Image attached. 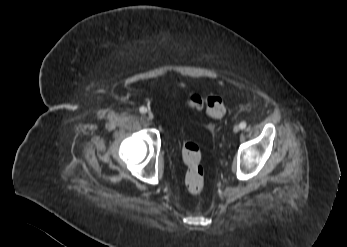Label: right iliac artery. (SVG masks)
I'll return each instance as SVG.
<instances>
[{
  "instance_id": "1",
  "label": "right iliac artery",
  "mask_w": 347,
  "mask_h": 247,
  "mask_svg": "<svg viewBox=\"0 0 347 247\" xmlns=\"http://www.w3.org/2000/svg\"><path fill=\"white\" fill-rule=\"evenodd\" d=\"M139 111H140V113H146L147 109H146V107L142 106V107H140Z\"/></svg>"
}]
</instances>
